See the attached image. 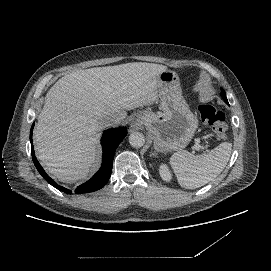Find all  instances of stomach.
<instances>
[{"label": "stomach", "instance_id": "stomach-1", "mask_svg": "<svg viewBox=\"0 0 271 271\" xmlns=\"http://www.w3.org/2000/svg\"><path fill=\"white\" fill-rule=\"evenodd\" d=\"M158 94L163 112L141 111L133 119L144 125L154 140V149L168 152L185 148L193 137L198 119L182 96L175 71L167 69L158 76Z\"/></svg>", "mask_w": 271, "mask_h": 271}]
</instances>
